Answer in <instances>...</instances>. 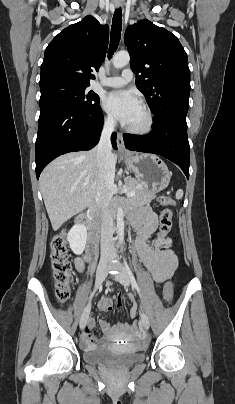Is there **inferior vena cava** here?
<instances>
[{"instance_id": "inferior-vena-cava-1", "label": "inferior vena cava", "mask_w": 235, "mask_h": 404, "mask_svg": "<svg viewBox=\"0 0 235 404\" xmlns=\"http://www.w3.org/2000/svg\"><path fill=\"white\" fill-rule=\"evenodd\" d=\"M115 125L116 122L113 118L105 120L100 141L96 147L99 175L95 201L101 217V256H106L113 252L114 229L110 203L114 189L115 161L110 137Z\"/></svg>"}]
</instances>
